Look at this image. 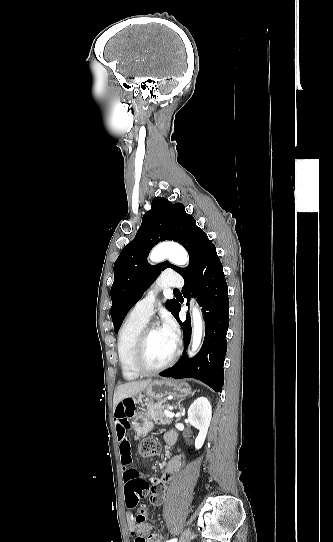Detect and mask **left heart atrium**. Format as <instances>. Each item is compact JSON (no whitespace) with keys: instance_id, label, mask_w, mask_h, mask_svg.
Returning <instances> with one entry per match:
<instances>
[{"instance_id":"1","label":"left heart atrium","mask_w":333,"mask_h":542,"mask_svg":"<svg viewBox=\"0 0 333 542\" xmlns=\"http://www.w3.org/2000/svg\"><path fill=\"white\" fill-rule=\"evenodd\" d=\"M160 329L165 335H167L174 343L179 339L180 332L178 325L174 318L168 314L164 315L162 319V325Z\"/></svg>"}]
</instances>
